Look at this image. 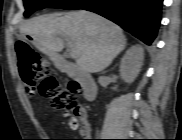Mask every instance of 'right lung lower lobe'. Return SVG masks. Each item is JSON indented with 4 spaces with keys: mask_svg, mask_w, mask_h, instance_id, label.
Listing matches in <instances>:
<instances>
[{
    "mask_svg": "<svg viewBox=\"0 0 182 140\" xmlns=\"http://www.w3.org/2000/svg\"><path fill=\"white\" fill-rule=\"evenodd\" d=\"M163 0H92L80 9L100 14L150 45L157 35Z\"/></svg>",
    "mask_w": 182,
    "mask_h": 140,
    "instance_id": "obj_1",
    "label": "right lung lower lobe"
}]
</instances>
